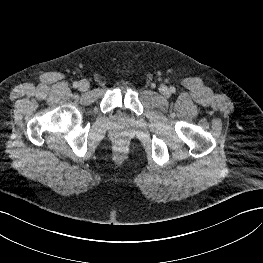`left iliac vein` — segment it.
Listing matches in <instances>:
<instances>
[{
  "instance_id": "1",
  "label": "left iliac vein",
  "mask_w": 263,
  "mask_h": 263,
  "mask_svg": "<svg viewBox=\"0 0 263 263\" xmlns=\"http://www.w3.org/2000/svg\"><path fill=\"white\" fill-rule=\"evenodd\" d=\"M160 92L163 94V95H168L169 94V90L166 86H161L160 88Z\"/></svg>"
}]
</instances>
